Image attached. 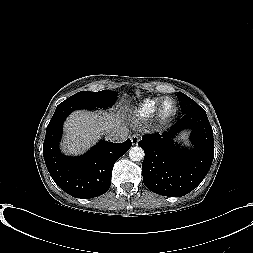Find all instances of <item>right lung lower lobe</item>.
Returning <instances> with one entry per match:
<instances>
[{
  "mask_svg": "<svg viewBox=\"0 0 253 253\" xmlns=\"http://www.w3.org/2000/svg\"><path fill=\"white\" fill-rule=\"evenodd\" d=\"M92 109L89 105L59 104L46 130L43 156L54 182L76 198H93L106 193L111 184L114 163L123 156L132 143L99 141L90 151L79 157L63 155L59 150L62 125L74 110Z\"/></svg>",
  "mask_w": 253,
  "mask_h": 253,
  "instance_id": "98d812e1",
  "label": "right lung lower lobe"
}]
</instances>
